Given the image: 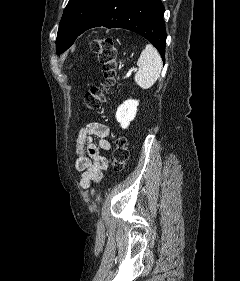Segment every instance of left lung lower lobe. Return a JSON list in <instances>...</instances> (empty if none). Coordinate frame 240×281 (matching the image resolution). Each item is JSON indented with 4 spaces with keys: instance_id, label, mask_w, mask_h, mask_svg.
<instances>
[{
    "instance_id": "left-lung-lower-lobe-1",
    "label": "left lung lower lobe",
    "mask_w": 240,
    "mask_h": 281,
    "mask_svg": "<svg viewBox=\"0 0 240 281\" xmlns=\"http://www.w3.org/2000/svg\"><path fill=\"white\" fill-rule=\"evenodd\" d=\"M161 0H103L82 27L104 26L136 32L151 42L165 58L166 32Z\"/></svg>"
}]
</instances>
